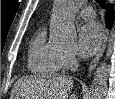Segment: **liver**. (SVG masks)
<instances>
[{
    "mask_svg": "<svg viewBox=\"0 0 115 99\" xmlns=\"http://www.w3.org/2000/svg\"><path fill=\"white\" fill-rule=\"evenodd\" d=\"M73 79L69 76L50 75L25 77L18 80L13 89L15 99H77L73 94Z\"/></svg>",
    "mask_w": 115,
    "mask_h": 99,
    "instance_id": "liver-1",
    "label": "liver"
}]
</instances>
